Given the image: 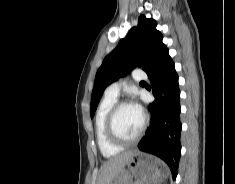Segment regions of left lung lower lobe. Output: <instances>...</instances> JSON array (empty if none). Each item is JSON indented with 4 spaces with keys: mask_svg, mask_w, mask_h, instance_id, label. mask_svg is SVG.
Segmentation results:
<instances>
[{
    "mask_svg": "<svg viewBox=\"0 0 235 184\" xmlns=\"http://www.w3.org/2000/svg\"><path fill=\"white\" fill-rule=\"evenodd\" d=\"M147 74L155 101L149 104L151 125L139 150L164 160L175 179L181 154L180 91L174 62L163 43L158 46Z\"/></svg>",
    "mask_w": 235,
    "mask_h": 184,
    "instance_id": "0a47b994",
    "label": "left lung lower lobe"
}]
</instances>
